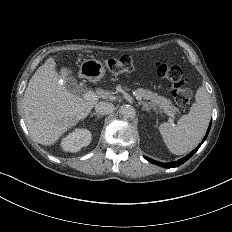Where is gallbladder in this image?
<instances>
[{"instance_id":"gallbladder-1","label":"gallbladder","mask_w":232,"mask_h":232,"mask_svg":"<svg viewBox=\"0 0 232 232\" xmlns=\"http://www.w3.org/2000/svg\"><path fill=\"white\" fill-rule=\"evenodd\" d=\"M77 81L74 78H67L64 80V86L66 89L70 92H76L77 91Z\"/></svg>"}]
</instances>
